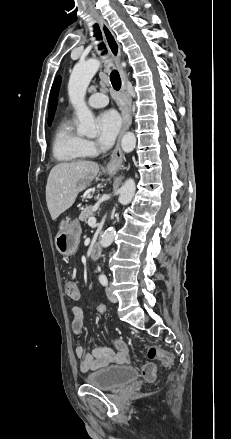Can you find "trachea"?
Masks as SVG:
<instances>
[{
    "mask_svg": "<svg viewBox=\"0 0 231 439\" xmlns=\"http://www.w3.org/2000/svg\"><path fill=\"white\" fill-rule=\"evenodd\" d=\"M94 35L97 39L102 40L101 31H100V28L97 24H94ZM104 48H105V45L103 43H101L99 45V50H102ZM103 53L105 54L106 50ZM110 81L112 83L113 88L118 91L121 87V78H120V75H119L117 70H112V72L110 74Z\"/></svg>",
    "mask_w": 231,
    "mask_h": 439,
    "instance_id": "trachea-1",
    "label": "trachea"
}]
</instances>
